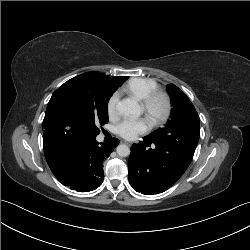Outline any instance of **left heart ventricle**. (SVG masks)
I'll use <instances>...</instances> for the list:
<instances>
[{"label": "left heart ventricle", "mask_w": 250, "mask_h": 250, "mask_svg": "<svg viewBox=\"0 0 250 250\" xmlns=\"http://www.w3.org/2000/svg\"><path fill=\"white\" fill-rule=\"evenodd\" d=\"M159 108H160V105L158 104V105H157V109H159Z\"/></svg>", "instance_id": "obj_1"}]
</instances>
